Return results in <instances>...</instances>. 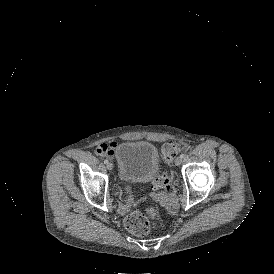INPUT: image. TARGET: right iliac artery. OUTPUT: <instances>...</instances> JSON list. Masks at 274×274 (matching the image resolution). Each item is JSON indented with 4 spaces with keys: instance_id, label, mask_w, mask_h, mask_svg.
Listing matches in <instances>:
<instances>
[{
    "instance_id": "82829eb1",
    "label": "right iliac artery",
    "mask_w": 274,
    "mask_h": 274,
    "mask_svg": "<svg viewBox=\"0 0 274 274\" xmlns=\"http://www.w3.org/2000/svg\"><path fill=\"white\" fill-rule=\"evenodd\" d=\"M104 163L107 164V163H108V160H104Z\"/></svg>"
}]
</instances>
